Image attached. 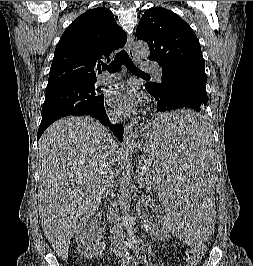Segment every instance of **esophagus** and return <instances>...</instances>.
Instances as JSON below:
<instances>
[{
  "mask_svg": "<svg viewBox=\"0 0 253 266\" xmlns=\"http://www.w3.org/2000/svg\"><path fill=\"white\" fill-rule=\"evenodd\" d=\"M127 52L130 55V57H135L134 52H133V38L131 36L128 37L127 39V44H126ZM136 138V131L131 125H126L125 126V132H124V141L125 143H129L133 141Z\"/></svg>",
  "mask_w": 253,
  "mask_h": 266,
  "instance_id": "obj_1",
  "label": "esophagus"
}]
</instances>
